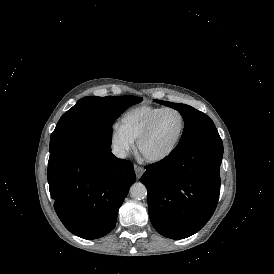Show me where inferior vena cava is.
Instances as JSON below:
<instances>
[{"instance_id":"1","label":"inferior vena cava","mask_w":274,"mask_h":274,"mask_svg":"<svg viewBox=\"0 0 274 274\" xmlns=\"http://www.w3.org/2000/svg\"><path fill=\"white\" fill-rule=\"evenodd\" d=\"M112 153L117 157V158H125L127 156V151L120 146H116L112 149Z\"/></svg>"}]
</instances>
